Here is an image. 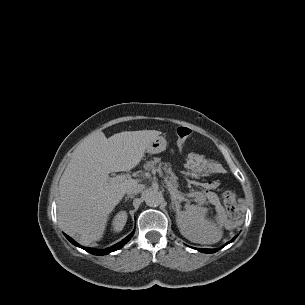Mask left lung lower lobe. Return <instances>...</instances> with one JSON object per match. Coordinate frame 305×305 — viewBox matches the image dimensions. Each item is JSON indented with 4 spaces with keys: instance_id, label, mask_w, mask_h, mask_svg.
Segmentation results:
<instances>
[{
    "instance_id": "0a47b994",
    "label": "left lung lower lobe",
    "mask_w": 305,
    "mask_h": 305,
    "mask_svg": "<svg viewBox=\"0 0 305 305\" xmlns=\"http://www.w3.org/2000/svg\"><path fill=\"white\" fill-rule=\"evenodd\" d=\"M236 237H234L230 242H232ZM230 242H227L225 245L229 244ZM201 252H204V253H214L216 251H218L219 249H197Z\"/></svg>"
}]
</instances>
